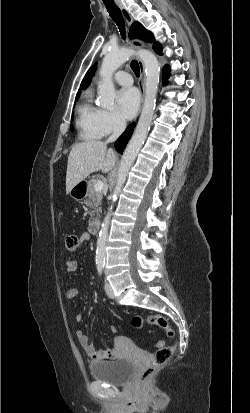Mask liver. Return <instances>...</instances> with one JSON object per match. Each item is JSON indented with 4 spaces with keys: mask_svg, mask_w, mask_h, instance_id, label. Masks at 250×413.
I'll return each instance as SVG.
<instances>
[{
    "mask_svg": "<svg viewBox=\"0 0 250 413\" xmlns=\"http://www.w3.org/2000/svg\"><path fill=\"white\" fill-rule=\"evenodd\" d=\"M117 156L113 149H107L106 142L88 140L75 144L68 156L66 172V193L83 181L89 174L101 170L107 173L113 169Z\"/></svg>",
    "mask_w": 250,
    "mask_h": 413,
    "instance_id": "liver-1",
    "label": "liver"
}]
</instances>
